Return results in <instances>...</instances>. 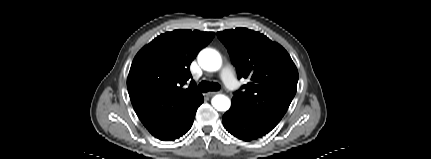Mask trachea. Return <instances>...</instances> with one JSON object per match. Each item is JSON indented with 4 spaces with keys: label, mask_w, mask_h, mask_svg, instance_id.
Instances as JSON below:
<instances>
[{
    "label": "trachea",
    "mask_w": 431,
    "mask_h": 159,
    "mask_svg": "<svg viewBox=\"0 0 431 159\" xmlns=\"http://www.w3.org/2000/svg\"><path fill=\"white\" fill-rule=\"evenodd\" d=\"M220 89V85L215 82L202 81L198 85L197 91L199 93H205L208 91H218Z\"/></svg>",
    "instance_id": "trachea-1"
}]
</instances>
